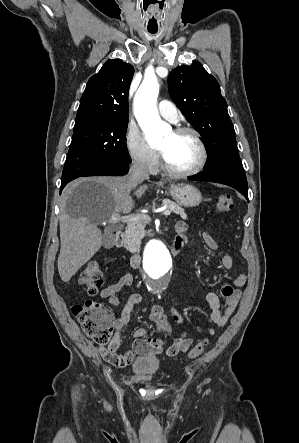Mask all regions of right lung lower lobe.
I'll use <instances>...</instances> for the list:
<instances>
[{"label":"right lung lower lobe","mask_w":299,"mask_h":443,"mask_svg":"<svg viewBox=\"0 0 299 443\" xmlns=\"http://www.w3.org/2000/svg\"><path fill=\"white\" fill-rule=\"evenodd\" d=\"M129 171V163L126 162H119V163H112V164H106V165H102L96 168H93L91 170H88L78 176H76L75 178L81 177V176H122L127 174ZM73 178V179H75ZM73 179L61 183V187H60V194L62 189L64 188V186L72 181Z\"/></svg>","instance_id":"1"}]
</instances>
